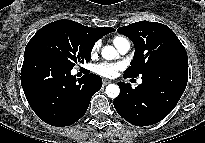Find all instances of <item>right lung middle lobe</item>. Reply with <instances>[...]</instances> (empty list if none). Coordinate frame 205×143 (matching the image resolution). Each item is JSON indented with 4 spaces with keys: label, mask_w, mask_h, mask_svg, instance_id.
I'll return each mask as SVG.
<instances>
[{
    "label": "right lung middle lobe",
    "mask_w": 205,
    "mask_h": 143,
    "mask_svg": "<svg viewBox=\"0 0 205 143\" xmlns=\"http://www.w3.org/2000/svg\"><path fill=\"white\" fill-rule=\"evenodd\" d=\"M94 43L76 22L62 19L42 27L28 42L25 53H42L73 68L90 61Z\"/></svg>",
    "instance_id": "dd1d6c3e"
}]
</instances>
